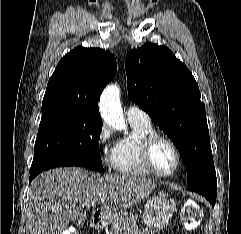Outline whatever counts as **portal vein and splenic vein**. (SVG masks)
I'll return each instance as SVG.
<instances>
[{
    "mask_svg": "<svg viewBox=\"0 0 241 234\" xmlns=\"http://www.w3.org/2000/svg\"><path fill=\"white\" fill-rule=\"evenodd\" d=\"M105 200V197H103L102 199H101V201L103 202Z\"/></svg>",
    "mask_w": 241,
    "mask_h": 234,
    "instance_id": "18ae733b",
    "label": "portal vein and splenic vein"
}]
</instances>
